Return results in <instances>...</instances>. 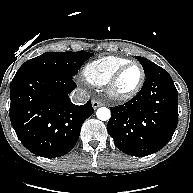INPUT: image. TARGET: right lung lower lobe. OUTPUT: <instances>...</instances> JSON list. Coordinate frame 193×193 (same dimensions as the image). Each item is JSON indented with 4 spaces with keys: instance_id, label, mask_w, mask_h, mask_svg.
<instances>
[{
    "instance_id": "98d812e1",
    "label": "right lung lower lobe",
    "mask_w": 193,
    "mask_h": 193,
    "mask_svg": "<svg viewBox=\"0 0 193 193\" xmlns=\"http://www.w3.org/2000/svg\"><path fill=\"white\" fill-rule=\"evenodd\" d=\"M73 78L50 72L15 75L10 92V120L22 144L32 153L60 157L76 144L83 122L94 109L91 101L74 105Z\"/></svg>"
}]
</instances>
